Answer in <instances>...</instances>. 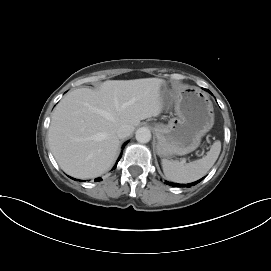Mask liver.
Wrapping results in <instances>:
<instances>
[{"label":"liver","instance_id":"liver-1","mask_svg":"<svg viewBox=\"0 0 271 271\" xmlns=\"http://www.w3.org/2000/svg\"><path fill=\"white\" fill-rule=\"evenodd\" d=\"M158 78L107 80L99 90L79 88L56 106L48 131L51 151L60 168L80 179L95 178L113 165L117 129L134 131L141 120L162 112Z\"/></svg>","mask_w":271,"mask_h":271}]
</instances>
